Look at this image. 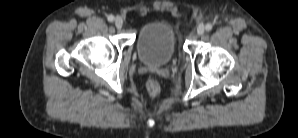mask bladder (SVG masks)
<instances>
[{
	"label": "bladder",
	"instance_id": "obj_1",
	"mask_svg": "<svg viewBox=\"0 0 298 138\" xmlns=\"http://www.w3.org/2000/svg\"><path fill=\"white\" fill-rule=\"evenodd\" d=\"M176 47L177 31L170 22L165 20L146 23L137 35V53L146 65H166L173 58Z\"/></svg>",
	"mask_w": 298,
	"mask_h": 138
}]
</instances>
